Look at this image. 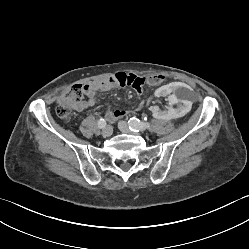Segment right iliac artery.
I'll return each instance as SVG.
<instances>
[{
	"label": "right iliac artery",
	"instance_id": "obj_1",
	"mask_svg": "<svg viewBox=\"0 0 249 249\" xmlns=\"http://www.w3.org/2000/svg\"><path fill=\"white\" fill-rule=\"evenodd\" d=\"M99 128H104L106 126V121L103 118H100L98 121Z\"/></svg>",
	"mask_w": 249,
	"mask_h": 249
}]
</instances>
